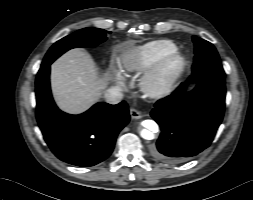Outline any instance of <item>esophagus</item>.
I'll use <instances>...</instances> for the list:
<instances>
[{
    "instance_id": "34e87169",
    "label": "esophagus",
    "mask_w": 253,
    "mask_h": 200,
    "mask_svg": "<svg viewBox=\"0 0 253 200\" xmlns=\"http://www.w3.org/2000/svg\"><path fill=\"white\" fill-rule=\"evenodd\" d=\"M130 116L132 119H140L142 118V114L140 111L134 109V108H131L130 109Z\"/></svg>"
}]
</instances>
